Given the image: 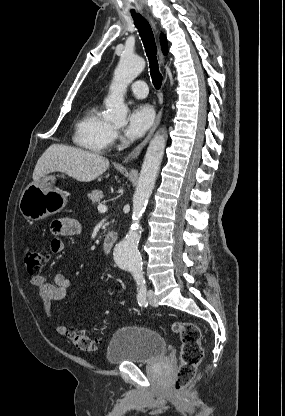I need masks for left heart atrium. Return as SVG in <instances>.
Masks as SVG:
<instances>
[{
	"mask_svg": "<svg viewBox=\"0 0 285 416\" xmlns=\"http://www.w3.org/2000/svg\"><path fill=\"white\" fill-rule=\"evenodd\" d=\"M153 118L154 113L149 105H136L129 113L125 135L131 140L140 138L151 125Z\"/></svg>",
	"mask_w": 285,
	"mask_h": 416,
	"instance_id": "left-heart-atrium-1",
	"label": "left heart atrium"
}]
</instances>
